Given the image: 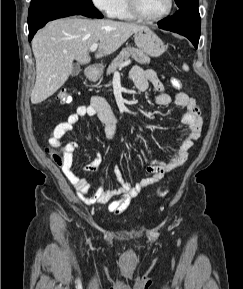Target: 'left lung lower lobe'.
<instances>
[{"instance_id":"obj_1","label":"left lung lower lobe","mask_w":243,"mask_h":289,"mask_svg":"<svg viewBox=\"0 0 243 289\" xmlns=\"http://www.w3.org/2000/svg\"><path fill=\"white\" fill-rule=\"evenodd\" d=\"M157 24L161 29L187 37L197 48L200 37V14L198 6L180 8L172 17L161 20Z\"/></svg>"}]
</instances>
